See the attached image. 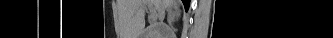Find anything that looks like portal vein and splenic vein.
Masks as SVG:
<instances>
[{
    "instance_id": "18ae733b",
    "label": "portal vein and splenic vein",
    "mask_w": 333,
    "mask_h": 38,
    "mask_svg": "<svg viewBox=\"0 0 333 38\" xmlns=\"http://www.w3.org/2000/svg\"><path fill=\"white\" fill-rule=\"evenodd\" d=\"M150 7V6H149ZM150 17L153 21L157 20L158 14L156 12V10H154L152 7H150Z\"/></svg>"
}]
</instances>
